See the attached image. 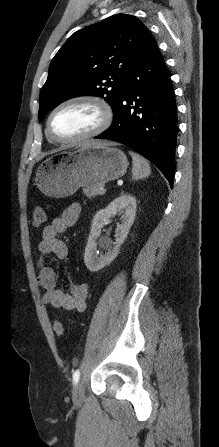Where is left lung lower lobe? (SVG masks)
Here are the masks:
<instances>
[{
	"instance_id": "0a47b994",
	"label": "left lung lower lobe",
	"mask_w": 219,
	"mask_h": 447,
	"mask_svg": "<svg viewBox=\"0 0 219 447\" xmlns=\"http://www.w3.org/2000/svg\"><path fill=\"white\" fill-rule=\"evenodd\" d=\"M177 131L170 75L151 37L127 75L112 125L95 138L132 148L150 160L172 188Z\"/></svg>"
}]
</instances>
